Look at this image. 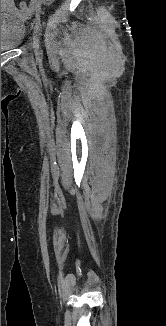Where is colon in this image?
Masks as SVG:
<instances>
[{
    "label": "colon",
    "instance_id": "colon-1",
    "mask_svg": "<svg viewBox=\"0 0 166 326\" xmlns=\"http://www.w3.org/2000/svg\"><path fill=\"white\" fill-rule=\"evenodd\" d=\"M20 10L24 15H28L31 12V7L28 3L26 2H21L20 3Z\"/></svg>",
    "mask_w": 166,
    "mask_h": 326
}]
</instances>
